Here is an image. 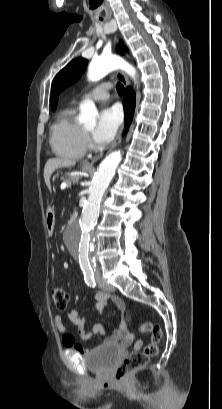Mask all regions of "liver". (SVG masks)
I'll list each match as a JSON object with an SVG mask.
<instances>
[{
	"mask_svg": "<svg viewBox=\"0 0 222 409\" xmlns=\"http://www.w3.org/2000/svg\"><path fill=\"white\" fill-rule=\"evenodd\" d=\"M76 164L75 160H71L68 158H51L49 159L44 167V180L45 184L51 190V184H50V177L52 173L59 168L62 167H70L74 166Z\"/></svg>",
	"mask_w": 222,
	"mask_h": 409,
	"instance_id": "6515ba94",
	"label": "liver"
}]
</instances>
